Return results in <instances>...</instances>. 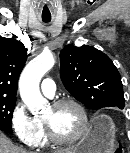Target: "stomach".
Masks as SVG:
<instances>
[{
    "instance_id": "1",
    "label": "stomach",
    "mask_w": 130,
    "mask_h": 153,
    "mask_svg": "<svg viewBox=\"0 0 130 153\" xmlns=\"http://www.w3.org/2000/svg\"><path fill=\"white\" fill-rule=\"evenodd\" d=\"M115 132L112 120L102 116L93 123L73 153H110L114 145Z\"/></svg>"
}]
</instances>
